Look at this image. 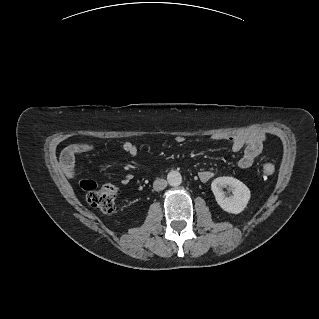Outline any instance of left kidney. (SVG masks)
Returning <instances> with one entry per match:
<instances>
[{
  "mask_svg": "<svg viewBox=\"0 0 319 319\" xmlns=\"http://www.w3.org/2000/svg\"><path fill=\"white\" fill-rule=\"evenodd\" d=\"M227 188L232 194L223 191ZM211 190L219 206L228 213H241L250 200V190L241 181L233 177H218L211 185Z\"/></svg>",
  "mask_w": 319,
  "mask_h": 319,
  "instance_id": "1",
  "label": "left kidney"
}]
</instances>
